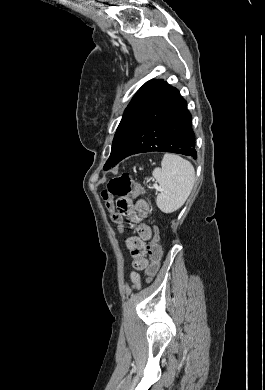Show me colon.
Returning <instances> with one entry per match:
<instances>
[{
    "instance_id": "1",
    "label": "colon",
    "mask_w": 265,
    "mask_h": 390,
    "mask_svg": "<svg viewBox=\"0 0 265 390\" xmlns=\"http://www.w3.org/2000/svg\"><path fill=\"white\" fill-rule=\"evenodd\" d=\"M144 192L143 187L135 182L128 173H121L118 176L112 178L107 187L102 191L101 196L105 202V206L110 214V219L117 225H121L122 215L116 209L112 197H125L128 195L139 196ZM159 237L155 229L152 240L146 247L147 254L149 256L150 263L146 267V274L149 279H152L160 268V262L162 258V251L158 243Z\"/></svg>"
}]
</instances>
